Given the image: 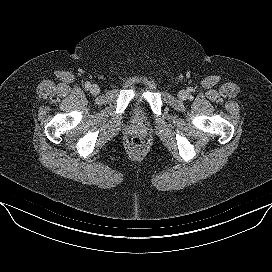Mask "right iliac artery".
<instances>
[{
	"mask_svg": "<svg viewBox=\"0 0 272 272\" xmlns=\"http://www.w3.org/2000/svg\"><path fill=\"white\" fill-rule=\"evenodd\" d=\"M91 86V84L89 82L85 83V88H89Z\"/></svg>",
	"mask_w": 272,
	"mask_h": 272,
	"instance_id": "right-iliac-artery-1",
	"label": "right iliac artery"
}]
</instances>
